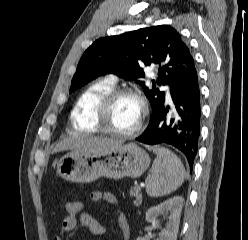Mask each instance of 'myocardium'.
Here are the masks:
<instances>
[{"mask_svg": "<svg viewBox=\"0 0 248 240\" xmlns=\"http://www.w3.org/2000/svg\"><path fill=\"white\" fill-rule=\"evenodd\" d=\"M123 96L136 98L141 106V116L136 127L129 132H119L111 129L107 124V117L116 100ZM148 116V105L142 93L134 88H114L108 92L98 103L94 112V123L97 130L103 134L117 138H133L143 129Z\"/></svg>", "mask_w": 248, "mask_h": 240, "instance_id": "1", "label": "myocardium"}]
</instances>
